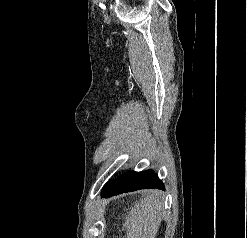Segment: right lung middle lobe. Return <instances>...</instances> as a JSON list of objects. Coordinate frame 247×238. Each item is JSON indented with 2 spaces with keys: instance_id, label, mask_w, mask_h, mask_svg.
<instances>
[{
  "instance_id": "1",
  "label": "right lung middle lobe",
  "mask_w": 247,
  "mask_h": 238,
  "mask_svg": "<svg viewBox=\"0 0 247 238\" xmlns=\"http://www.w3.org/2000/svg\"><path fill=\"white\" fill-rule=\"evenodd\" d=\"M110 182V181H109ZM109 182L104 186L103 190L106 188V186L109 184Z\"/></svg>"
}]
</instances>
